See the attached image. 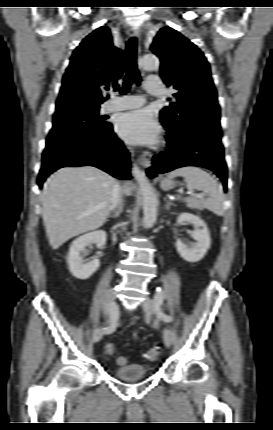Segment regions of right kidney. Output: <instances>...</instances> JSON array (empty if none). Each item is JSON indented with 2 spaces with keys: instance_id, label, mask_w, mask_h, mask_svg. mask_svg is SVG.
<instances>
[{
  "instance_id": "ca27d5eb",
  "label": "right kidney",
  "mask_w": 273,
  "mask_h": 430,
  "mask_svg": "<svg viewBox=\"0 0 273 430\" xmlns=\"http://www.w3.org/2000/svg\"><path fill=\"white\" fill-rule=\"evenodd\" d=\"M106 242V233L103 230L90 232L75 239L69 249L67 263L70 273L81 280L88 279L100 266L99 259L95 258L88 263H84L83 255L85 248L90 244H96L101 248Z\"/></svg>"
}]
</instances>
